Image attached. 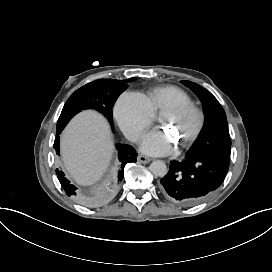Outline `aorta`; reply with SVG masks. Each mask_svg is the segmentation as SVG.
Here are the masks:
<instances>
[{"mask_svg":"<svg viewBox=\"0 0 272 272\" xmlns=\"http://www.w3.org/2000/svg\"><path fill=\"white\" fill-rule=\"evenodd\" d=\"M150 171L153 175L163 177L167 174V166L162 160H156L151 163Z\"/></svg>","mask_w":272,"mask_h":272,"instance_id":"aorta-1","label":"aorta"}]
</instances>
